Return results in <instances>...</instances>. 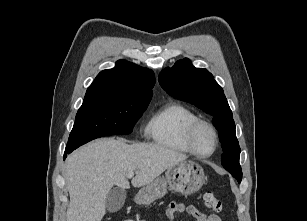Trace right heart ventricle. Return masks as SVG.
<instances>
[{"label": "right heart ventricle", "mask_w": 307, "mask_h": 221, "mask_svg": "<svg viewBox=\"0 0 307 221\" xmlns=\"http://www.w3.org/2000/svg\"><path fill=\"white\" fill-rule=\"evenodd\" d=\"M197 119V115L188 107L171 102L153 113L145 132L161 147L180 153H189L184 143V133L188 125Z\"/></svg>", "instance_id": "e07e8e85"}]
</instances>
